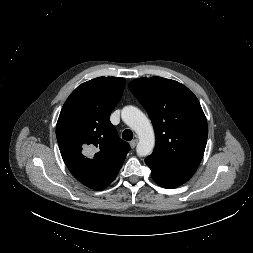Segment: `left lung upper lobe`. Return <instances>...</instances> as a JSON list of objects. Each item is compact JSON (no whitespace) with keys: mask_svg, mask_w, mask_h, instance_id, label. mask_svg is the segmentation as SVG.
Segmentation results:
<instances>
[{"mask_svg":"<svg viewBox=\"0 0 253 253\" xmlns=\"http://www.w3.org/2000/svg\"><path fill=\"white\" fill-rule=\"evenodd\" d=\"M129 89L148 112L156 135L153 153L145 160L191 178L207 142L208 125L196 96L183 84L162 78H139Z\"/></svg>","mask_w":253,"mask_h":253,"instance_id":"left-lung-upper-lobe-1","label":"left lung upper lobe"}]
</instances>
